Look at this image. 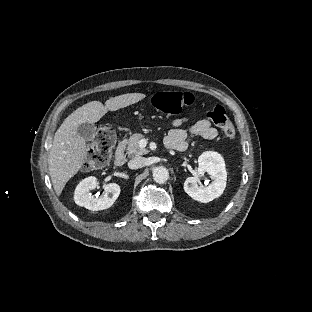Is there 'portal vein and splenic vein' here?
I'll use <instances>...</instances> for the list:
<instances>
[{
  "instance_id": "obj_1",
  "label": "portal vein and splenic vein",
  "mask_w": 312,
  "mask_h": 312,
  "mask_svg": "<svg viewBox=\"0 0 312 312\" xmlns=\"http://www.w3.org/2000/svg\"><path fill=\"white\" fill-rule=\"evenodd\" d=\"M146 145H147V140H146V139H141V140L139 141V146H140L141 148L146 147Z\"/></svg>"
}]
</instances>
